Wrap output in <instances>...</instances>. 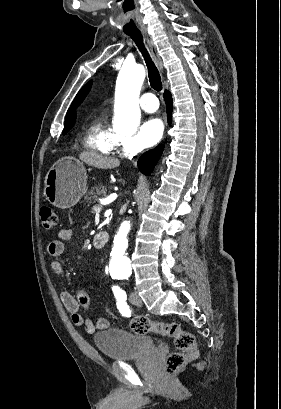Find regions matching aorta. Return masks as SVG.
<instances>
[{"label":"aorta","mask_w":281,"mask_h":409,"mask_svg":"<svg viewBox=\"0 0 281 409\" xmlns=\"http://www.w3.org/2000/svg\"><path fill=\"white\" fill-rule=\"evenodd\" d=\"M145 78L142 65L123 64L117 79L113 128L117 132H135L140 122L138 97ZM130 223L121 224V230L126 233Z\"/></svg>","instance_id":"1"}]
</instances>
